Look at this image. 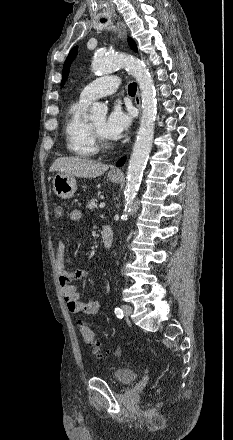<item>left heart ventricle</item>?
Returning a JSON list of instances; mask_svg holds the SVG:
<instances>
[{"label": "left heart ventricle", "instance_id": "obj_1", "mask_svg": "<svg viewBox=\"0 0 233 440\" xmlns=\"http://www.w3.org/2000/svg\"><path fill=\"white\" fill-rule=\"evenodd\" d=\"M91 123L94 125V127L105 137L109 138L106 135L105 132V123H106V117L105 116H99L97 118H95L93 121H91Z\"/></svg>", "mask_w": 233, "mask_h": 440}]
</instances>
